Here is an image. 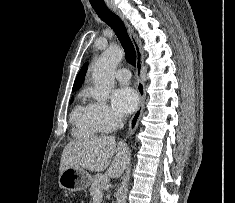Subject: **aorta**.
<instances>
[{"label": "aorta", "mask_w": 235, "mask_h": 203, "mask_svg": "<svg viewBox=\"0 0 235 203\" xmlns=\"http://www.w3.org/2000/svg\"><path fill=\"white\" fill-rule=\"evenodd\" d=\"M123 50L117 45H110L96 60L92 78L94 81V98L105 103L115 84L114 73L123 58Z\"/></svg>", "instance_id": "762f6f07"}]
</instances>
